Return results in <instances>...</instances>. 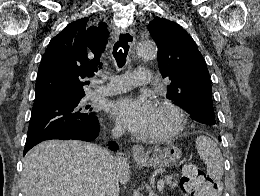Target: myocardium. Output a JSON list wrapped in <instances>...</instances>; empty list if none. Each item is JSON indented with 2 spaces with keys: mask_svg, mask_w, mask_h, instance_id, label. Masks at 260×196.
<instances>
[{
  "mask_svg": "<svg viewBox=\"0 0 260 196\" xmlns=\"http://www.w3.org/2000/svg\"><path fill=\"white\" fill-rule=\"evenodd\" d=\"M154 105L161 107L166 112H168L171 115L172 122L167 127L154 131L150 136V140L152 141L168 140L174 135L178 134L184 128L186 119H185L184 112L179 106L164 98H156L154 100Z\"/></svg>",
  "mask_w": 260,
  "mask_h": 196,
  "instance_id": "1",
  "label": "myocardium"
}]
</instances>
